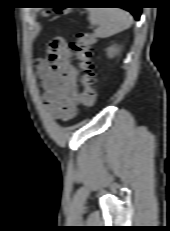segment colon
Returning a JSON list of instances; mask_svg holds the SVG:
<instances>
[{
    "label": "colon",
    "mask_w": 170,
    "mask_h": 231,
    "mask_svg": "<svg viewBox=\"0 0 170 231\" xmlns=\"http://www.w3.org/2000/svg\"><path fill=\"white\" fill-rule=\"evenodd\" d=\"M96 42L95 35L90 32H80L74 41L69 44L72 51V59L76 68L81 74L80 82L83 87L80 95V103L91 108L97 101V94L94 88V72L92 63V48Z\"/></svg>",
    "instance_id": "obj_1"
}]
</instances>
